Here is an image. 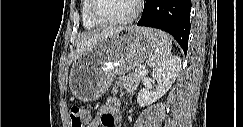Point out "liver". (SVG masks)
Here are the masks:
<instances>
[{"label":"liver","instance_id":"obj_1","mask_svg":"<svg viewBox=\"0 0 243 127\" xmlns=\"http://www.w3.org/2000/svg\"><path fill=\"white\" fill-rule=\"evenodd\" d=\"M122 29L123 28L99 29L81 34L76 45V52L69 60V64L80 55L90 51L103 38H106L107 36L112 35Z\"/></svg>","mask_w":243,"mask_h":127}]
</instances>
